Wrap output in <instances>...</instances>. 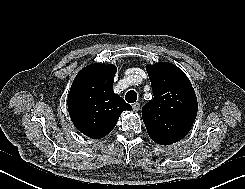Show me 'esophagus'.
<instances>
[{
	"mask_svg": "<svg viewBox=\"0 0 245 189\" xmlns=\"http://www.w3.org/2000/svg\"><path fill=\"white\" fill-rule=\"evenodd\" d=\"M132 109L134 112H137L140 110V103L136 102L134 104H132Z\"/></svg>",
	"mask_w": 245,
	"mask_h": 189,
	"instance_id": "34e87169",
	"label": "esophagus"
}]
</instances>
